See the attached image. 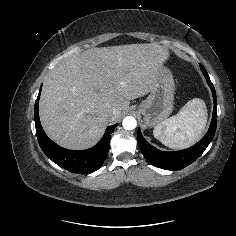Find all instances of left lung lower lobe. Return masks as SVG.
I'll list each match as a JSON object with an SVG mask.
<instances>
[{"label":"left lung lower lobe","mask_w":236,"mask_h":236,"mask_svg":"<svg viewBox=\"0 0 236 236\" xmlns=\"http://www.w3.org/2000/svg\"><path fill=\"white\" fill-rule=\"evenodd\" d=\"M200 68L206 78L208 85L211 88L214 100V109L209 130L198 143L188 149L174 152H164L150 145L142 136L140 129H138L137 137L140 149L144 157L154 166L173 171L183 169L184 167L193 163L205 151V149L214 137L217 126L216 92L207 71L202 65H200Z\"/></svg>","instance_id":"1"}]
</instances>
